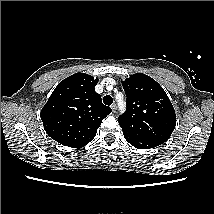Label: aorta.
<instances>
[{"label": "aorta", "instance_id": "762f6f07", "mask_svg": "<svg viewBox=\"0 0 214 214\" xmlns=\"http://www.w3.org/2000/svg\"><path fill=\"white\" fill-rule=\"evenodd\" d=\"M119 108H120L121 111L124 110V108H125L124 102H119Z\"/></svg>", "mask_w": 214, "mask_h": 214}]
</instances>
